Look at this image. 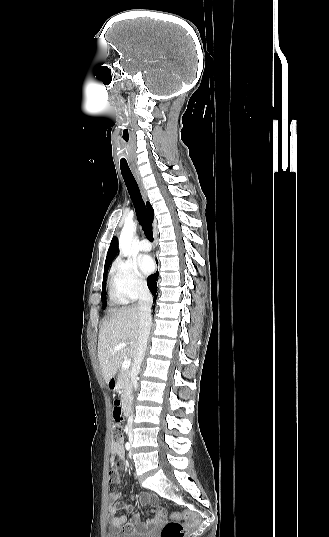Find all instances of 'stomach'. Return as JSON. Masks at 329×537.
Here are the masks:
<instances>
[{"label":"stomach","mask_w":329,"mask_h":537,"mask_svg":"<svg viewBox=\"0 0 329 537\" xmlns=\"http://www.w3.org/2000/svg\"><path fill=\"white\" fill-rule=\"evenodd\" d=\"M112 381H113V379H110L108 381V387H109V385H111V387H109V388H111L113 391H115L117 389V384L115 382H113V384H111Z\"/></svg>","instance_id":"0dacf381"}]
</instances>
